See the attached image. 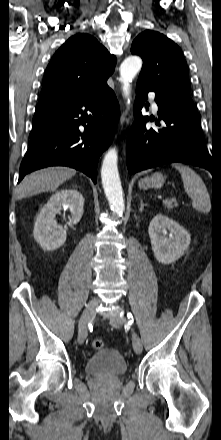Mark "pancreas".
I'll return each instance as SVG.
<instances>
[{"label":"pancreas","mask_w":221,"mask_h":440,"mask_svg":"<svg viewBox=\"0 0 221 440\" xmlns=\"http://www.w3.org/2000/svg\"><path fill=\"white\" fill-rule=\"evenodd\" d=\"M164 205L168 210H171L178 206V204L174 200L167 201L166 203H164Z\"/></svg>","instance_id":"obj_1"}]
</instances>
